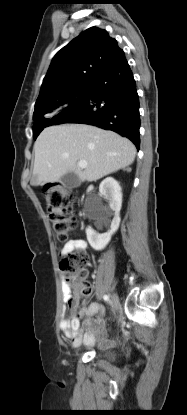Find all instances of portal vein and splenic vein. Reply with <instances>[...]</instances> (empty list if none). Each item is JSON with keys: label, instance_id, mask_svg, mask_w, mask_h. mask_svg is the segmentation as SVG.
I'll return each mask as SVG.
<instances>
[{"label": "portal vein and splenic vein", "instance_id": "portal-vein-and-splenic-vein-1", "mask_svg": "<svg viewBox=\"0 0 187 415\" xmlns=\"http://www.w3.org/2000/svg\"><path fill=\"white\" fill-rule=\"evenodd\" d=\"M78 166L80 168H86L87 167V162L85 160H81L78 162Z\"/></svg>", "mask_w": 187, "mask_h": 415}]
</instances>
